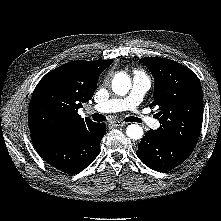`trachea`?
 Wrapping results in <instances>:
<instances>
[{
  "mask_svg": "<svg viewBox=\"0 0 221 221\" xmlns=\"http://www.w3.org/2000/svg\"><path fill=\"white\" fill-rule=\"evenodd\" d=\"M92 119H93L94 121H97V122H103V121L106 120V117H105L104 115H102V114L94 113V114L92 115ZM125 121H126V122H140V120H139L138 118L133 117V116H130V117L125 118Z\"/></svg>",
  "mask_w": 221,
  "mask_h": 221,
  "instance_id": "1",
  "label": "trachea"
}]
</instances>
